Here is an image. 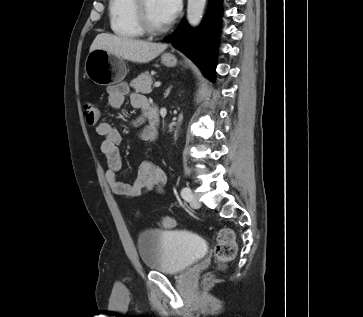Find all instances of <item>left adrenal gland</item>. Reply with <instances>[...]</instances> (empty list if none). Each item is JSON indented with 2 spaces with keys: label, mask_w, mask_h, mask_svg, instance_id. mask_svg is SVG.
I'll return each mask as SVG.
<instances>
[{
  "label": "left adrenal gland",
  "mask_w": 363,
  "mask_h": 317,
  "mask_svg": "<svg viewBox=\"0 0 363 317\" xmlns=\"http://www.w3.org/2000/svg\"><path fill=\"white\" fill-rule=\"evenodd\" d=\"M172 86H170L169 88L166 89L165 93H164V98L168 97L170 90H171Z\"/></svg>",
  "instance_id": "obj_1"
}]
</instances>
